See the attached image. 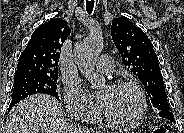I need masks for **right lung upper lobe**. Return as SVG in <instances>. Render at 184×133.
Here are the masks:
<instances>
[{"label":"right lung upper lobe","mask_w":184,"mask_h":133,"mask_svg":"<svg viewBox=\"0 0 184 133\" xmlns=\"http://www.w3.org/2000/svg\"><path fill=\"white\" fill-rule=\"evenodd\" d=\"M69 34L62 18H51L40 25L20 55L14 78L58 76L60 50Z\"/></svg>","instance_id":"right-lung-upper-lobe-1"}]
</instances>
